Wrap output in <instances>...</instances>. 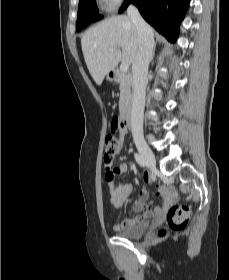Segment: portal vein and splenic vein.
Instances as JSON below:
<instances>
[{
    "label": "portal vein and splenic vein",
    "instance_id": "obj_1",
    "mask_svg": "<svg viewBox=\"0 0 229 280\" xmlns=\"http://www.w3.org/2000/svg\"><path fill=\"white\" fill-rule=\"evenodd\" d=\"M112 51V50H111ZM129 63H127V62H122L121 63V65H120V70L122 71V72H127L128 71V69H129Z\"/></svg>",
    "mask_w": 229,
    "mask_h": 280
}]
</instances>
